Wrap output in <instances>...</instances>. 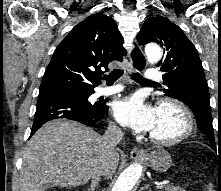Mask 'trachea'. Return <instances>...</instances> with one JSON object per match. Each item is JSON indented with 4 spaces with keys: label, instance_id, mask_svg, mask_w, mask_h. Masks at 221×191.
I'll use <instances>...</instances> for the list:
<instances>
[{
    "label": "trachea",
    "instance_id": "trachea-1",
    "mask_svg": "<svg viewBox=\"0 0 221 191\" xmlns=\"http://www.w3.org/2000/svg\"><path fill=\"white\" fill-rule=\"evenodd\" d=\"M123 75V71L120 69H114L108 76L102 77V79L106 80L107 84H113L116 80H118ZM131 78L141 84H157L155 82H151L143 78L139 73H133Z\"/></svg>",
    "mask_w": 221,
    "mask_h": 191
}]
</instances>
